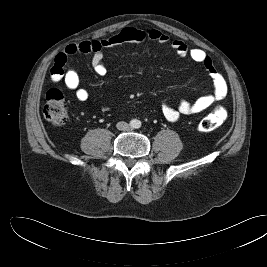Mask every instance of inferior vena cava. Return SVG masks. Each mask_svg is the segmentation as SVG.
<instances>
[{"instance_id": "602c4592", "label": "inferior vena cava", "mask_w": 267, "mask_h": 267, "mask_svg": "<svg viewBox=\"0 0 267 267\" xmlns=\"http://www.w3.org/2000/svg\"><path fill=\"white\" fill-rule=\"evenodd\" d=\"M116 127L118 130L126 131L129 129V124L124 121H121L117 123Z\"/></svg>"}]
</instances>
